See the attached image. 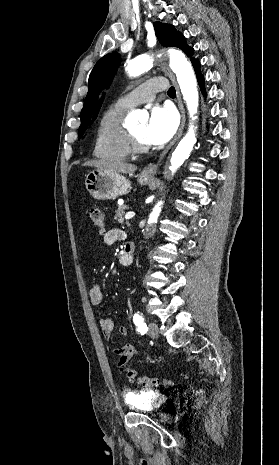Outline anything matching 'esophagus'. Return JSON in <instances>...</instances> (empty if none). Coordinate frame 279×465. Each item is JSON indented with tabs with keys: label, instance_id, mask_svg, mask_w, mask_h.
<instances>
[{
	"label": "esophagus",
	"instance_id": "esophagus-1",
	"mask_svg": "<svg viewBox=\"0 0 279 465\" xmlns=\"http://www.w3.org/2000/svg\"><path fill=\"white\" fill-rule=\"evenodd\" d=\"M159 65H160L162 71L171 79V81L173 82V84H174V86L176 88L177 102H178V107H179V110H180V113H181V124H180L179 130H178L176 136L170 142V144L165 148V150L161 153L157 163H151V164L144 167V169L142 171V174L144 176H154L156 174V172L158 170V167H159L161 161L163 160V158L165 157V155L167 154V152L174 145V143L176 141H178V139L181 137L184 126H185V119H186L185 118V110H184V106H183L182 99H181V94H180L179 87H178V84H177V81L175 79L174 74H173V72L171 71V69L169 68L168 64L165 62L164 59H159Z\"/></svg>",
	"mask_w": 279,
	"mask_h": 465
}]
</instances>
